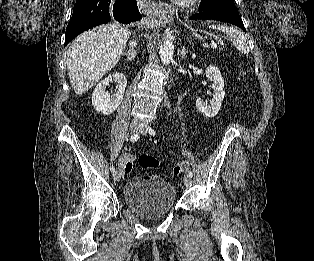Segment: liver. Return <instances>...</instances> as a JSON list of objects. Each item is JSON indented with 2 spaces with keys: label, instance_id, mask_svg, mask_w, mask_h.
I'll return each instance as SVG.
<instances>
[{
  "label": "liver",
  "instance_id": "6515ba94",
  "mask_svg": "<svg viewBox=\"0 0 314 261\" xmlns=\"http://www.w3.org/2000/svg\"><path fill=\"white\" fill-rule=\"evenodd\" d=\"M131 32L114 23L79 35L69 46L67 70L71 86L81 95L118 63Z\"/></svg>",
  "mask_w": 314,
  "mask_h": 261
}]
</instances>
